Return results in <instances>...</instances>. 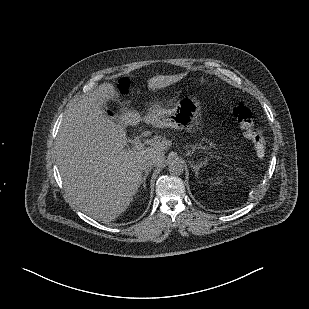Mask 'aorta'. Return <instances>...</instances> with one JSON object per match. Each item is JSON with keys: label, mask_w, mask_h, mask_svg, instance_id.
Instances as JSON below:
<instances>
[{"label": "aorta", "mask_w": 309, "mask_h": 309, "mask_svg": "<svg viewBox=\"0 0 309 309\" xmlns=\"http://www.w3.org/2000/svg\"><path fill=\"white\" fill-rule=\"evenodd\" d=\"M184 169H185L184 162L180 158L173 159L168 166L169 173L174 176L182 175Z\"/></svg>", "instance_id": "obj_1"}]
</instances>
